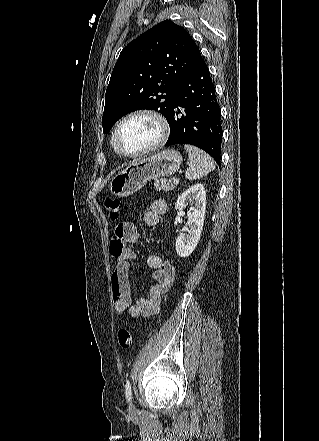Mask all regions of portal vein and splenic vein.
<instances>
[{
    "label": "portal vein and splenic vein",
    "mask_w": 319,
    "mask_h": 441,
    "mask_svg": "<svg viewBox=\"0 0 319 441\" xmlns=\"http://www.w3.org/2000/svg\"><path fill=\"white\" fill-rule=\"evenodd\" d=\"M178 183H179V179L174 178V179H173V184H178Z\"/></svg>",
    "instance_id": "1"
}]
</instances>
